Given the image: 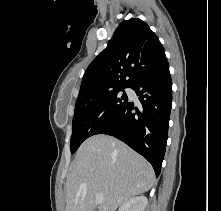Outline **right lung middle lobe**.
<instances>
[{"instance_id": "obj_1", "label": "right lung middle lobe", "mask_w": 221, "mask_h": 211, "mask_svg": "<svg viewBox=\"0 0 221 211\" xmlns=\"http://www.w3.org/2000/svg\"><path fill=\"white\" fill-rule=\"evenodd\" d=\"M121 91L123 95L120 94ZM127 102L124 88L78 98L72 121L71 153H74L84 140L107 125Z\"/></svg>"}]
</instances>
